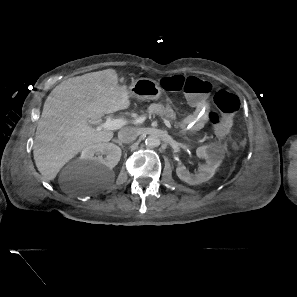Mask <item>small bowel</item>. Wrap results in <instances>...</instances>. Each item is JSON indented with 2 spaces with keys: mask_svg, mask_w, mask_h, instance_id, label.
<instances>
[{
  "mask_svg": "<svg viewBox=\"0 0 297 297\" xmlns=\"http://www.w3.org/2000/svg\"><path fill=\"white\" fill-rule=\"evenodd\" d=\"M192 101V105L195 107L193 114L185 117L180 125L182 128L190 130H200L208 120L209 116V104L206 100L202 99L199 102Z\"/></svg>",
  "mask_w": 297,
  "mask_h": 297,
  "instance_id": "1",
  "label": "small bowel"
}]
</instances>
